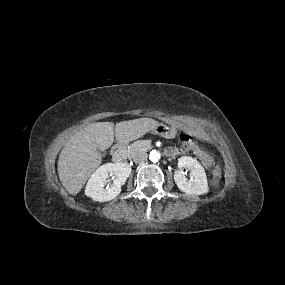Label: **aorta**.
Wrapping results in <instances>:
<instances>
[{
    "label": "aorta",
    "instance_id": "aorta-1",
    "mask_svg": "<svg viewBox=\"0 0 285 285\" xmlns=\"http://www.w3.org/2000/svg\"><path fill=\"white\" fill-rule=\"evenodd\" d=\"M161 155H160V152L159 151H156V150H152L149 154V159L152 161V162H157L159 161Z\"/></svg>",
    "mask_w": 285,
    "mask_h": 285
}]
</instances>
